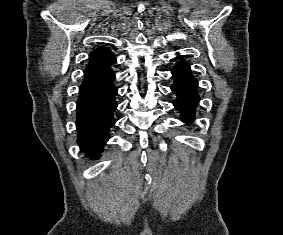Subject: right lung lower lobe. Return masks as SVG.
Masks as SVG:
<instances>
[{
    "label": "right lung lower lobe",
    "instance_id": "right-lung-lower-lobe-1",
    "mask_svg": "<svg viewBox=\"0 0 283 235\" xmlns=\"http://www.w3.org/2000/svg\"><path fill=\"white\" fill-rule=\"evenodd\" d=\"M114 73L107 72L84 79L77 101L78 144L91 157H98L109 139V130L115 124L113 111L116 109L113 85Z\"/></svg>",
    "mask_w": 283,
    "mask_h": 235
}]
</instances>
